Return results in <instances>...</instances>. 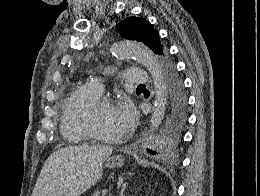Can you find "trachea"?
Here are the masks:
<instances>
[{"instance_id":"3493384b","label":"trachea","mask_w":260,"mask_h":196,"mask_svg":"<svg viewBox=\"0 0 260 196\" xmlns=\"http://www.w3.org/2000/svg\"><path fill=\"white\" fill-rule=\"evenodd\" d=\"M137 88H145V85H138Z\"/></svg>"}]
</instances>
